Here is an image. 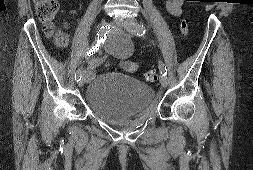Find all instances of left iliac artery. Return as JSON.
Segmentation results:
<instances>
[{
  "label": "left iliac artery",
  "instance_id": "1",
  "mask_svg": "<svg viewBox=\"0 0 253 170\" xmlns=\"http://www.w3.org/2000/svg\"><path fill=\"white\" fill-rule=\"evenodd\" d=\"M132 33L138 35V36H143L145 34V26L143 24H134ZM159 69L162 75L166 76L167 75V69L166 66L159 61Z\"/></svg>",
  "mask_w": 253,
  "mask_h": 170
}]
</instances>
